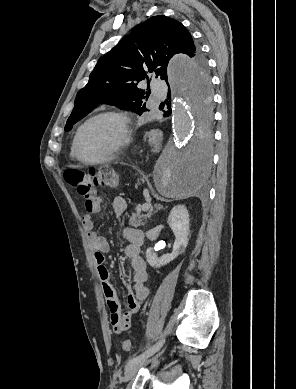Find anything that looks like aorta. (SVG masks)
Segmentation results:
<instances>
[{
    "label": "aorta",
    "instance_id": "762f6f07",
    "mask_svg": "<svg viewBox=\"0 0 296 389\" xmlns=\"http://www.w3.org/2000/svg\"><path fill=\"white\" fill-rule=\"evenodd\" d=\"M173 103V136L164 159L155 169V186L166 197L182 198L202 189L207 167L212 165L211 75L204 67H191L183 54L175 55L167 69Z\"/></svg>",
    "mask_w": 296,
    "mask_h": 389
}]
</instances>
